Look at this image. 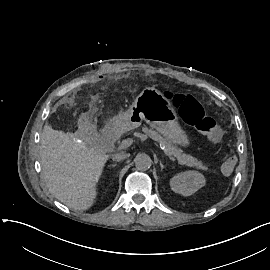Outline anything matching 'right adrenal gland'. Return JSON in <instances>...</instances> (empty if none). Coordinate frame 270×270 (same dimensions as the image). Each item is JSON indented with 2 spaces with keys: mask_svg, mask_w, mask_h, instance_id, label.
Returning <instances> with one entry per match:
<instances>
[{
  "mask_svg": "<svg viewBox=\"0 0 270 270\" xmlns=\"http://www.w3.org/2000/svg\"><path fill=\"white\" fill-rule=\"evenodd\" d=\"M116 165H117V164H112L111 166H112V167H115Z\"/></svg>",
  "mask_w": 270,
  "mask_h": 270,
  "instance_id": "right-adrenal-gland-1",
  "label": "right adrenal gland"
}]
</instances>
